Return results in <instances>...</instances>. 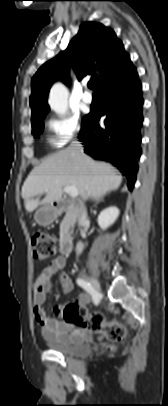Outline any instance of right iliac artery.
<instances>
[{"label": "right iliac artery", "instance_id": "right-iliac-artery-1", "mask_svg": "<svg viewBox=\"0 0 168 406\" xmlns=\"http://www.w3.org/2000/svg\"><path fill=\"white\" fill-rule=\"evenodd\" d=\"M76 282L80 287H82L85 291L91 294L94 299V302H96L97 294L94 291L93 287L90 285V283L82 278H77Z\"/></svg>", "mask_w": 168, "mask_h": 406}]
</instances>
